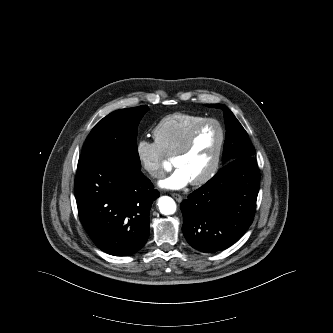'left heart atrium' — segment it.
<instances>
[{"label": "left heart atrium", "mask_w": 333, "mask_h": 333, "mask_svg": "<svg viewBox=\"0 0 333 333\" xmlns=\"http://www.w3.org/2000/svg\"><path fill=\"white\" fill-rule=\"evenodd\" d=\"M191 182L186 172L176 167L175 170L166 178L159 182V186L164 189L178 190L187 186Z\"/></svg>", "instance_id": "left-heart-atrium-1"}]
</instances>
